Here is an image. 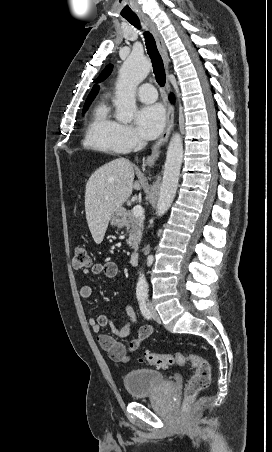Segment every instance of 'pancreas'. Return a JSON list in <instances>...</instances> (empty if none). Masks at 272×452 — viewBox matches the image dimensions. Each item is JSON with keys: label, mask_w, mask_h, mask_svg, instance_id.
<instances>
[{"label": "pancreas", "mask_w": 272, "mask_h": 452, "mask_svg": "<svg viewBox=\"0 0 272 452\" xmlns=\"http://www.w3.org/2000/svg\"><path fill=\"white\" fill-rule=\"evenodd\" d=\"M125 227L129 234L127 244L132 249H137L142 238L144 217H135L132 211L126 213Z\"/></svg>", "instance_id": "obj_1"}]
</instances>
